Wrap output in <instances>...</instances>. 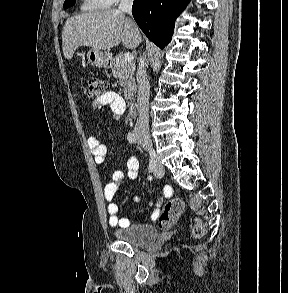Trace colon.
I'll use <instances>...</instances> for the list:
<instances>
[{"label": "colon", "mask_w": 288, "mask_h": 293, "mask_svg": "<svg viewBox=\"0 0 288 293\" xmlns=\"http://www.w3.org/2000/svg\"><path fill=\"white\" fill-rule=\"evenodd\" d=\"M107 92V83L100 78H90L84 89L87 97L99 99ZM183 211V203L179 198L170 199L165 203L157 218L160 228L168 229L172 227ZM204 226L196 220L193 227V234L196 238H201L204 235Z\"/></svg>", "instance_id": "colon-1"}]
</instances>
